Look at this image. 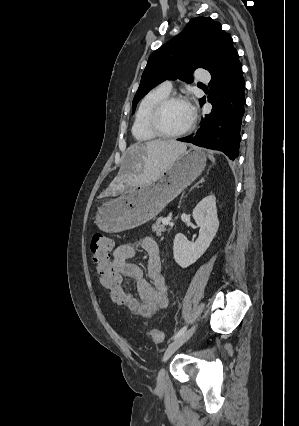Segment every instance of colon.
Segmentation results:
<instances>
[{"label":"colon","instance_id":"5ec220e1","mask_svg":"<svg viewBox=\"0 0 299 426\" xmlns=\"http://www.w3.org/2000/svg\"><path fill=\"white\" fill-rule=\"evenodd\" d=\"M113 241L102 233H96L91 238L90 250L92 261L96 265L99 280L115 304L122 305L126 297V289L122 277L114 270L111 262ZM151 340L155 344L164 342V334L158 329L149 332Z\"/></svg>","mask_w":299,"mask_h":426}]
</instances>
